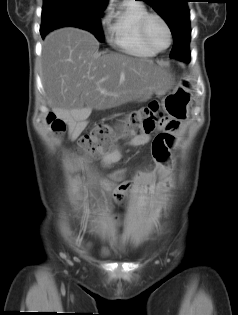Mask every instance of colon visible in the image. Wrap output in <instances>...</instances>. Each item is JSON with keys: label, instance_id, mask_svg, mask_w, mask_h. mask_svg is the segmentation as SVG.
Instances as JSON below:
<instances>
[{"label": "colon", "instance_id": "5ec220e1", "mask_svg": "<svg viewBox=\"0 0 238 315\" xmlns=\"http://www.w3.org/2000/svg\"><path fill=\"white\" fill-rule=\"evenodd\" d=\"M48 124L55 133L65 131V123L54 115L48 116ZM164 120L159 115V105L152 102L148 107L133 111L121 119L117 125L95 124L92 130L81 137L79 149L87 159L109 149L117 138H133L150 134L162 126Z\"/></svg>", "mask_w": 238, "mask_h": 315}]
</instances>
